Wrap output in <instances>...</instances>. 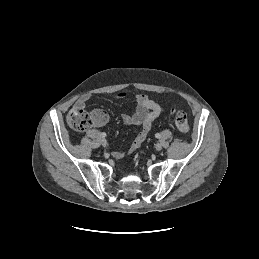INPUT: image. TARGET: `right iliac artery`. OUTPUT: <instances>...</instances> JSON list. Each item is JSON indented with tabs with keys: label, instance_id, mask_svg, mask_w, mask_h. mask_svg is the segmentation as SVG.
I'll list each match as a JSON object with an SVG mask.
<instances>
[{
	"label": "right iliac artery",
	"instance_id": "82829eb1",
	"mask_svg": "<svg viewBox=\"0 0 259 259\" xmlns=\"http://www.w3.org/2000/svg\"><path fill=\"white\" fill-rule=\"evenodd\" d=\"M101 136H102L103 138H105V137H106V133L102 132V133H101Z\"/></svg>",
	"mask_w": 259,
	"mask_h": 259
}]
</instances>
